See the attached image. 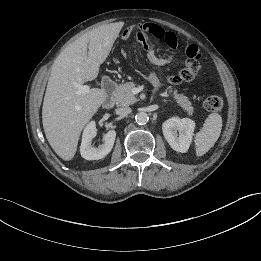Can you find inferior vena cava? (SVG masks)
<instances>
[{
	"label": "inferior vena cava",
	"mask_w": 261,
	"mask_h": 261,
	"mask_svg": "<svg viewBox=\"0 0 261 261\" xmlns=\"http://www.w3.org/2000/svg\"><path fill=\"white\" fill-rule=\"evenodd\" d=\"M132 112L130 107H120L116 109V113L122 116H128Z\"/></svg>",
	"instance_id": "602c4592"
}]
</instances>
